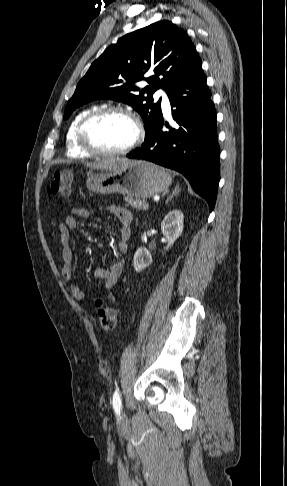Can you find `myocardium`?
Returning <instances> with one entry per match:
<instances>
[{"label": "myocardium", "instance_id": "f54148a6", "mask_svg": "<svg viewBox=\"0 0 287 486\" xmlns=\"http://www.w3.org/2000/svg\"><path fill=\"white\" fill-rule=\"evenodd\" d=\"M109 114H121L127 117L134 126L135 134L132 141L125 147L114 151H103L97 149L89 142L87 133L89 126L94 121ZM76 137L79 147L88 155L101 158H112L126 155L134 150L143 139V127L139 118L127 108H124L122 106H106L96 108L95 110L89 112L85 117H83L78 125Z\"/></svg>", "mask_w": 287, "mask_h": 486}]
</instances>
